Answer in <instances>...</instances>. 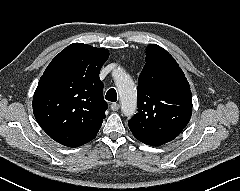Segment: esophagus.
<instances>
[{
  "mask_svg": "<svg viewBox=\"0 0 240 191\" xmlns=\"http://www.w3.org/2000/svg\"><path fill=\"white\" fill-rule=\"evenodd\" d=\"M110 107L112 111H118L120 108V105L118 103H112Z\"/></svg>",
  "mask_w": 240,
  "mask_h": 191,
  "instance_id": "esophagus-1",
  "label": "esophagus"
}]
</instances>
